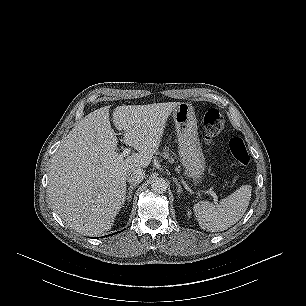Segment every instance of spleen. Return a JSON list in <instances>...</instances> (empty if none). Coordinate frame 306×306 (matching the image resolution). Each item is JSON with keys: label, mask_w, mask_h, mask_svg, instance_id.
Listing matches in <instances>:
<instances>
[{"label": "spleen", "mask_w": 306, "mask_h": 306, "mask_svg": "<svg viewBox=\"0 0 306 306\" xmlns=\"http://www.w3.org/2000/svg\"><path fill=\"white\" fill-rule=\"evenodd\" d=\"M251 185H243L218 204L200 201L193 211L200 227L210 232L224 231L233 226L246 212L251 199Z\"/></svg>", "instance_id": "3e777b00"}]
</instances>
